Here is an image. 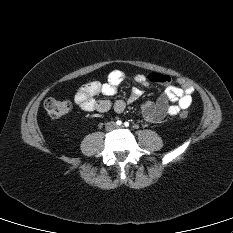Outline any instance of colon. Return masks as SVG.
<instances>
[{"mask_svg": "<svg viewBox=\"0 0 233 233\" xmlns=\"http://www.w3.org/2000/svg\"><path fill=\"white\" fill-rule=\"evenodd\" d=\"M45 109L50 117L60 118L70 112L71 103L67 100L49 98L45 101ZM179 116L185 119L189 116V113L187 111H182Z\"/></svg>", "mask_w": 233, "mask_h": 233, "instance_id": "obj_1", "label": "colon"}]
</instances>
